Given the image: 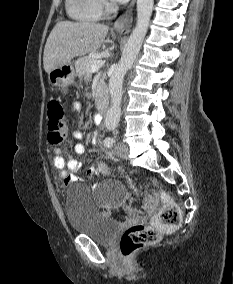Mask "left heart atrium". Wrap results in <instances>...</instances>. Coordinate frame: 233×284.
<instances>
[{"mask_svg": "<svg viewBox=\"0 0 233 284\" xmlns=\"http://www.w3.org/2000/svg\"><path fill=\"white\" fill-rule=\"evenodd\" d=\"M113 1H115V2H117V3H124V2H126L127 0H113Z\"/></svg>", "mask_w": 233, "mask_h": 284, "instance_id": "1", "label": "left heart atrium"}]
</instances>
